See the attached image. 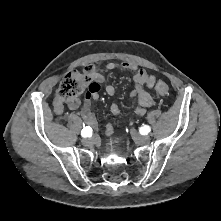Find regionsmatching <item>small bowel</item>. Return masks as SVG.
I'll list each match as a JSON object with an SVG mask.
<instances>
[{"label":"small bowel","instance_id":"small-bowel-1","mask_svg":"<svg viewBox=\"0 0 221 221\" xmlns=\"http://www.w3.org/2000/svg\"><path fill=\"white\" fill-rule=\"evenodd\" d=\"M118 67L133 73L135 86L131 95L136 97L137 101L135 113L139 116H143L146 113V109L153 104V97L149 90L152 89L155 84V76L147 73L144 69L139 68L131 62H123L121 64L110 62L105 66L104 71H112ZM85 71L92 82L90 83V88H86L83 91L85 101L83 104L82 117L86 124L91 127H96L97 122L93 113L92 100H97L99 97L101 83L104 81V73L93 65L87 66ZM105 91L108 95L112 96L115 94V87L112 84H108L105 87ZM66 104L70 109L75 110L80 107L81 100L79 98L68 99L66 100ZM110 109L113 114L120 112V108L116 103H113ZM54 111L57 114L63 112V101L59 98H56L54 101ZM112 133L113 126L110 123L106 124V135L111 136Z\"/></svg>","mask_w":221,"mask_h":221}]
</instances>
